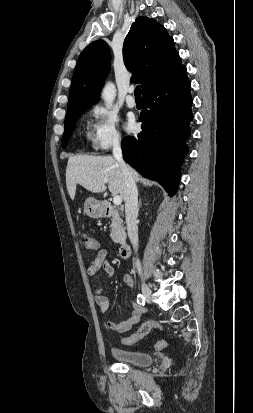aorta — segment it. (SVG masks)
<instances>
[{
	"label": "aorta",
	"instance_id": "762f6f07",
	"mask_svg": "<svg viewBox=\"0 0 253 413\" xmlns=\"http://www.w3.org/2000/svg\"><path fill=\"white\" fill-rule=\"evenodd\" d=\"M116 96V88L115 85L111 82L106 83L103 92H102V98L106 104V106L112 105L114 99Z\"/></svg>",
	"mask_w": 253,
	"mask_h": 413
}]
</instances>
